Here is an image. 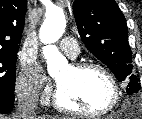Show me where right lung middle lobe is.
Returning <instances> with one entry per match:
<instances>
[{"label":"right lung middle lobe","mask_w":142,"mask_h":119,"mask_svg":"<svg viewBox=\"0 0 142 119\" xmlns=\"http://www.w3.org/2000/svg\"><path fill=\"white\" fill-rule=\"evenodd\" d=\"M17 52L0 51V94L14 95Z\"/></svg>","instance_id":"right-lung-middle-lobe-1"}]
</instances>
